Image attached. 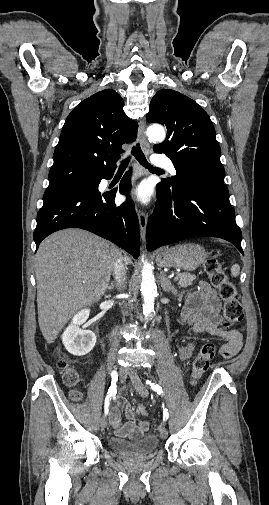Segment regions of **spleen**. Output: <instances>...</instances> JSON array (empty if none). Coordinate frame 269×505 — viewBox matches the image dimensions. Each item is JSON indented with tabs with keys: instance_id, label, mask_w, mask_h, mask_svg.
<instances>
[{
	"instance_id": "obj_1",
	"label": "spleen",
	"mask_w": 269,
	"mask_h": 505,
	"mask_svg": "<svg viewBox=\"0 0 269 505\" xmlns=\"http://www.w3.org/2000/svg\"><path fill=\"white\" fill-rule=\"evenodd\" d=\"M240 273V266L238 264H234L232 267H231V274L232 276L234 277H237Z\"/></svg>"
}]
</instances>
